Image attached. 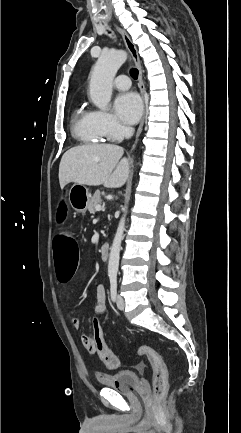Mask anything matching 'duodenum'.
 Returning <instances> with one entry per match:
<instances>
[{
  "mask_svg": "<svg viewBox=\"0 0 241 433\" xmlns=\"http://www.w3.org/2000/svg\"><path fill=\"white\" fill-rule=\"evenodd\" d=\"M100 257L103 261H106L109 257L110 245L108 243H102L100 245Z\"/></svg>",
  "mask_w": 241,
  "mask_h": 433,
  "instance_id": "duodenum-1",
  "label": "duodenum"
}]
</instances>
